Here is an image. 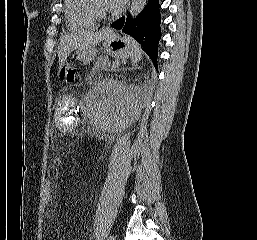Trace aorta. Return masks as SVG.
I'll list each match as a JSON object with an SVG mask.
<instances>
[{
	"mask_svg": "<svg viewBox=\"0 0 257 240\" xmlns=\"http://www.w3.org/2000/svg\"><path fill=\"white\" fill-rule=\"evenodd\" d=\"M145 3H146V0H132V4L130 8V14L132 18L137 17L141 13Z\"/></svg>",
	"mask_w": 257,
	"mask_h": 240,
	"instance_id": "762f6f07",
	"label": "aorta"
}]
</instances>
